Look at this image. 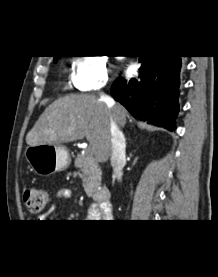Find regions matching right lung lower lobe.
<instances>
[{
	"instance_id": "right-lung-lower-lobe-1",
	"label": "right lung lower lobe",
	"mask_w": 218,
	"mask_h": 277,
	"mask_svg": "<svg viewBox=\"0 0 218 277\" xmlns=\"http://www.w3.org/2000/svg\"><path fill=\"white\" fill-rule=\"evenodd\" d=\"M140 74L130 81L117 78L112 96L136 118L175 130L181 56H140Z\"/></svg>"
}]
</instances>
